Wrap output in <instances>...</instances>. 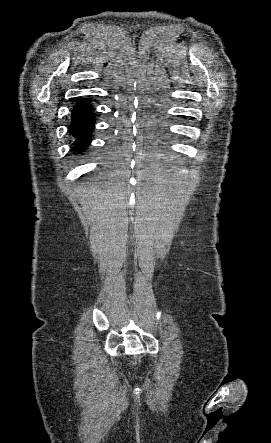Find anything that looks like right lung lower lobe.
I'll use <instances>...</instances> for the list:
<instances>
[{
    "mask_svg": "<svg viewBox=\"0 0 271 443\" xmlns=\"http://www.w3.org/2000/svg\"><path fill=\"white\" fill-rule=\"evenodd\" d=\"M88 100H81L72 109L70 132L76 138L74 145L77 152L83 151L90 142L94 128V114Z\"/></svg>",
    "mask_w": 271,
    "mask_h": 443,
    "instance_id": "obj_1",
    "label": "right lung lower lobe"
}]
</instances>
